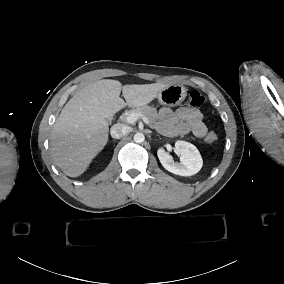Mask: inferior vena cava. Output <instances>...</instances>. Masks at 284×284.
<instances>
[{"label": "inferior vena cava", "mask_w": 284, "mask_h": 284, "mask_svg": "<svg viewBox=\"0 0 284 284\" xmlns=\"http://www.w3.org/2000/svg\"><path fill=\"white\" fill-rule=\"evenodd\" d=\"M129 132L130 128L121 123L114 124L110 130L111 136L115 139H119L122 136L128 134Z\"/></svg>", "instance_id": "inferior-vena-cava-1"}]
</instances>
